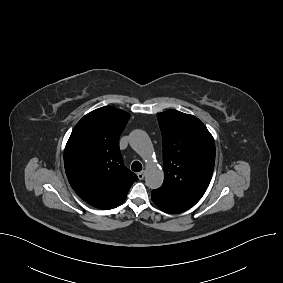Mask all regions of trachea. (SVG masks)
<instances>
[{
  "label": "trachea",
  "mask_w": 283,
  "mask_h": 283,
  "mask_svg": "<svg viewBox=\"0 0 283 283\" xmlns=\"http://www.w3.org/2000/svg\"><path fill=\"white\" fill-rule=\"evenodd\" d=\"M131 169L134 172H139L142 170V164L139 161H134L131 165Z\"/></svg>",
  "instance_id": "obj_1"
}]
</instances>
